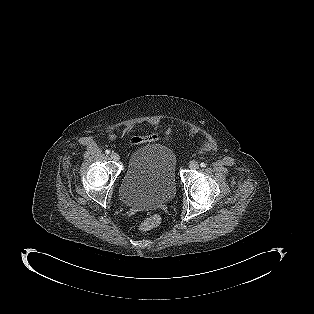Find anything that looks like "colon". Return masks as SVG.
Wrapping results in <instances>:
<instances>
[{
    "instance_id": "5ec220e1",
    "label": "colon",
    "mask_w": 314,
    "mask_h": 314,
    "mask_svg": "<svg viewBox=\"0 0 314 314\" xmlns=\"http://www.w3.org/2000/svg\"><path fill=\"white\" fill-rule=\"evenodd\" d=\"M160 224V217L158 215H151L141 223V229L149 231L156 228Z\"/></svg>"
}]
</instances>
